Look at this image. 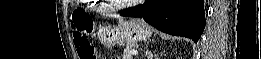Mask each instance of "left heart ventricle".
I'll list each match as a JSON object with an SVG mask.
<instances>
[{
    "label": "left heart ventricle",
    "instance_id": "1",
    "mask_svg": "<svg viewBox=\"0 0 261 59\" xmlns=\"http://www.w3.org/2000/svg\"><path fill=\"white\" fill-rule=\"evenodd\" d=\"M117 3H123V2H125V1H116Z\"/></svg>",
    "mask_w": 261,
    "mask_h": 59
}]
</instances>
